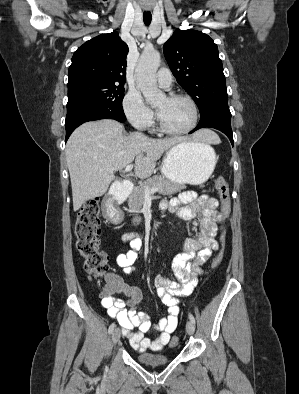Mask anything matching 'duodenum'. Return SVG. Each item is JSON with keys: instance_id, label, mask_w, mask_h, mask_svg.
Returning <instances> with one entry per match:
<instances>
[{"instance_id": "duodenum-1", "label": "duodenum", "mask_w": 299, "mask_h": 394, "mask_svg": "<svg viewBox=\"0 0 299 394\" xmlns=\"http://www.w3.org/2000/svg\"><path fill=\"white\" fill-rule=\"evenodd\" d=\"M132 190V185H123L120 189H114L106 196L103 204L104 216L106 219L113 221L117 219V205L122 203L128 192ZM132 235H126L125 239L132 238Z\"/></svg>"}]
</instances>
